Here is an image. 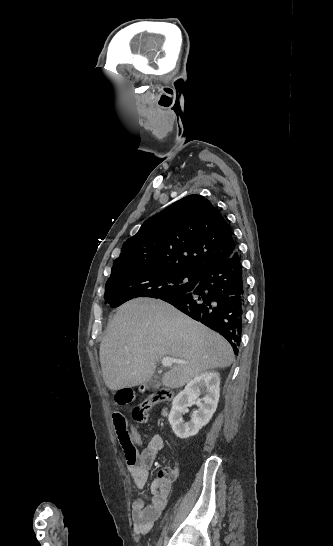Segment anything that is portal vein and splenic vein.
I'll return each instance as SVG.
<instances>
[{
  "label": "portal vein and splenic vein",
  "mask_w": 333,
  "mask_h": 546,
  "mask_svg": "<svg viewBox=\"0 0 333 546\" xmlns=\"http://www.w3.org/2000/svg\"><path fill=\"white\" fill-rule=\"evenodd\" d=\"M173 363H179V364H184L186 363L185 361L181 360V359H175V358H172L170 356H166L162 359V365L163 367H170L172 366Z\"/></svg>",
  "instance_id": "18ae733b"
}]
</instances>
